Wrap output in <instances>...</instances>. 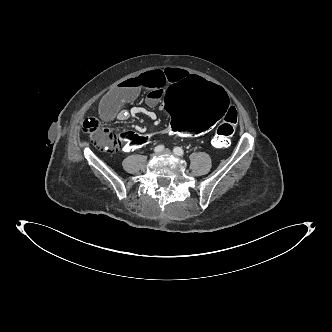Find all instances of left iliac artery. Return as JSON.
<instances>
[{
  "label": "left iliac artery",
  "instance_id": "obj_1",
  "mask_svg": "<svg viewBox=\"0 0 332 332\" xmlns=\"http://www.w3.org/2000/svg\"><path fill=\"white\" fill-rule=\"evenodd\" d=\"M174 154L178 156H183L184 155V150L181 147H175L173 149Z\"/></svg>",
  "mask_w": 332,
  "mask_h": 332
}]
</instances>
